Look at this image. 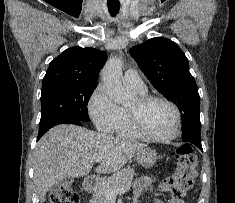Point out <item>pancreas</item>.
Masks as SVG:
<instances>
[{
	"label": "pancreas",
	"mask_w": 235,
	"mask_h": 203,
	"mask_svg": "<svg viewBox=\"0 0 235 203\" xmlns=\"http://www.w3.org/2000/svg\"><path fill=\"white\" fill-rule=\"evenodd\" d=\"M134 170L132 168H124L108 179L103 181L93 192L90 203H110L106 196L107 190H118L121 188H130L133 184Z\"/></svg>",
	"instance_id": "pancreas-1"
}]
</instances>
